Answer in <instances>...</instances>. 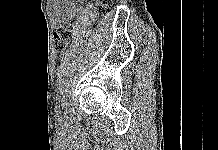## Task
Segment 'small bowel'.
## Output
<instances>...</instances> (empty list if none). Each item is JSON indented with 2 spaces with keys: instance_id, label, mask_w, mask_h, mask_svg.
Returning a JSON list of instances; mask_svg holds the SVG:
<instances>
[{
  "instance_id": "small-bowel-1",
  "label": "small bowel",
  "mask_w": 218,
  "mask_h": 150,
  "mask_svg": "<svg viewBox=\"0 0 218 150\" xmlns=\"http://www.w3.org/2000/svg\"><path fill=\"white\" fill-rule=\"evenodd\" d=\"M78 0H51L57 24L70 21L79 11Z\"/></svg>"
}]
</instances>
